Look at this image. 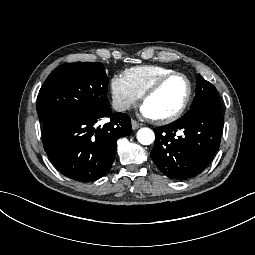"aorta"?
<instances>
[{
    "label": "aorta",
    "instance_id": "762f6f07",
    "mask_svg": "<svg viewBox=\"0 0 255 255\" xmlns=\"http://www.w3.org/2000/svg\"><path fill=\"white\" fill-rule=\"evenodd\" d=\"M154 132L149 128H141L137 132V139L143 145H149L154 141Z\"/></svg>",
    "mask_w": 255,
    "mask_h": 255
}]
</instances>
